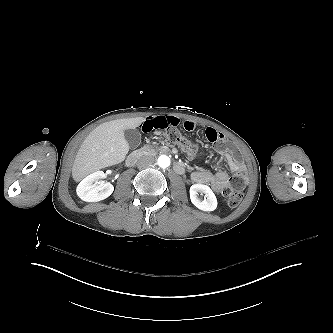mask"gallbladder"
I'll list each match as a JSON object with an SVG mask.
<instances>
[{
	"instance_id": "obj_1",
	"label": "gallbladder",
	"mask_w": 333,
	"mask_h": 333,
	"mask_svg": "<svg viewBox=\"0 0 333 333\" xmlns=\"http://www.w3.org/2000/svg\"><path fill=\"white\" fill-rule=\"evenodd\" d=\"M124 137L131 149L137 148L141 143V134L137 129H126Z\"/></svg>"
}]
</instances>
